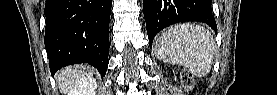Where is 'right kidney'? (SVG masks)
Listing matches in <instances>:
<instances>
[{
	"label": "right kidney",
	"instance_id": "right-kidney-1",
	"mask_svg": "<svg viewBox=\"0 0 277 95\" xmlns=\"http://www.w3.org/2000/svg\"><path fill=\"white\" fill-rule=\"evenodd\" d=\"M97 87L96 81L93 78L82 81L79 85V91L76 95H95Z\"/></svg>",
	"mask_w": 277,
	"mask_h": 95
}]
</instances>
